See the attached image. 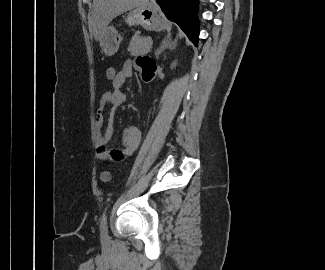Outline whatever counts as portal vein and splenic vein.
I'll return each mask as SVG.
<instances>
[{
	"label": "portal vein and splenic vein",
	"mask_w": 325,
	"mask_h": 270,
	"mask_svg": "<svg viewBox=\"0 0 325 270\" xmlns=\"http://www.w3.org/2000/svg\"><path fill=\"white\" fill-rule=\"evenodd\" d=\"M149 45H150V47H152V40L151 39H149Z\"/></svg>",
	"instance_id": "1"
}]
</instances>
